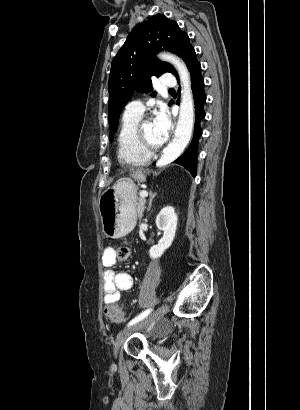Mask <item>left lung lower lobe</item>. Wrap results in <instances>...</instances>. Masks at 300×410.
<instances>
[{
  "instance_id": "1",
  "label": "left lung lower lobe",
  "mask_w": 300,
  "mask_h": 410,
  "mask_svg": "<svg viewBox=\"0 0 300 410\" xmlns=\"http://www.w3.org/2000/svg\"><path fill=\"white\" fill-rule=\"evenodd\" d=\"M187 67L191 75L195 104L194 135L190 146L178 159L175 160V163L184 166L193 175V177H195L197 167V147L199 138L202 135L200 122L205 117L204 104L206 102V95L204 91V79L201 75V65L197 61L196 53L191 56Z\"/></svg>"
}]
</instances>
